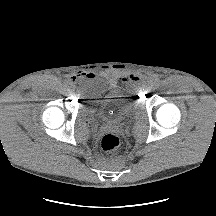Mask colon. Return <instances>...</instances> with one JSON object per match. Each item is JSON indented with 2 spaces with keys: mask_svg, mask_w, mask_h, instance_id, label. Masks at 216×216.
I'll return each instance as SVG.
<instances>
[{
  "mask_svg": "<svg viewBox=\"0 0 216 216\" xmlns=\"http://www.w3.org/2000/svg\"><path fill=\"white\" fill-rule=\"evenodd\" d=\"M121 140L114 133H107L101 139V148L104 151H114L119 148Z\"/></svg>",
  "mask_w": 216,
  "mask_h": 216,
  "instance_id": "1",
  "label": "colon"
}]
</instances>
